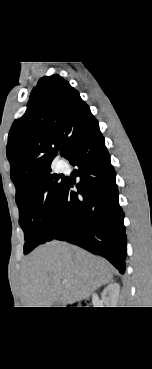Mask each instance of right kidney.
I'll list each match as a JSON object with an SVG mask.
<instances>
[{"instance_id":"1","label":"right kidney","mask_w":152,"mask_h":369,"mask_svg":"<svg viewBox=\"0 0 152 369\" xmlns=\"http://www.w3.org/2000/svg\"><path fill=\"white\" fill-rule=\"evenodd\" d=\"M119 292L120 285L118 283H111L103 290L102 300L107 306L113 307L119 299Z\"/></svg>"}]
</instances>
